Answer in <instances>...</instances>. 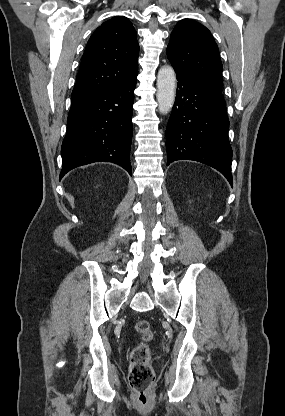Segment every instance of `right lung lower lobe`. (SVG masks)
Wrapping results in <instances>:
<instances>
[{
	"label": "right lung lower lobe",
	"instance_id": "obj_1",
	"mask_svg": "<svg viewBox=\"0 0 285 416\" xmlns=\"http://www.w3.org/2000/svg\"><path fill=\"white\" fill-rule=\"evenodd\" d=\"M137 75L115 88L72 103L62 143L61 178L71 169L93 162H113L132 175L130 147Z\"/></svg>",
	"mask_w": 285,
	"mask_h": 416
}]
</instances>
